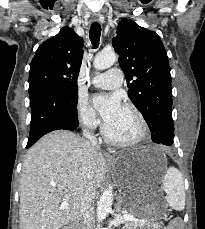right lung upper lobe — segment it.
Here are the masks:
<instances>
[{"instance_id":"obj_1","label":"right lung upper lobe","mask_w":205,"mask_h":229,"mask_svg":"<svg viewBox=\"0 0 205 229\" xmlns=\"http://www.w3.org/2000/svg\"><path fill=\"white\" fill-rule=\"evenodd\" d=\"M83 39L71 28L61 31L41 44L30 65L29 96L48 89L77 85L83 57Z\"/></svg>"}]
</instances>
